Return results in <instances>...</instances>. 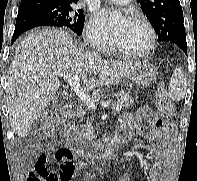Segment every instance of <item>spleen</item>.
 Wrapping results in <instances>:
<instances>
[{
	"label": "spleen",
	"instance_id": "spleen-1",
	"mask_svg": "<svg viewBox=\"0 0 197 181\" xmlns=\"http://www.w3.org/2000/svg\"><path fill=\"white\" fill-rule=\"evenodd\" d=\"M186 76L181 67L175 68L169 83V97L174 101H180L186 93Z\"/></svg>",
	"mask_w": 197,
	"mask_h": 181
}]
</instances>
